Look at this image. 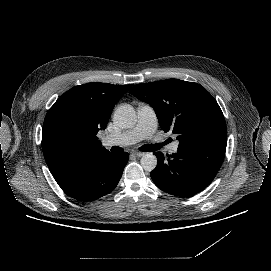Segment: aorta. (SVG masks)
<instances>
[{
	"label": "aorta",
	"instance_id": "1",
	"mask_svg": "<svg viewBox=\"0 0 271 271\" xmlns=\"http://www.w3.org/2000/svg\"><path fill=\"white\" fill-rule=\"evenodd\" d=\"M113 122L123 129L132 128L137 122V115L132 105L121 104L114 112ZM145 171L151 172L157 166V158L152 153H145L140 160Z\"/></svg>",
	"mask_w": 271,
	"mask_h": 271
}]
</instances>
